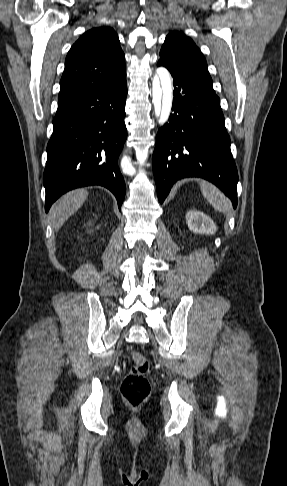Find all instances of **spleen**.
<instances>
[{
  "mask_svg": "<svg viewBox=\"0 0 287 486\" xmlns=\"http://www.w3.org/2000/svg\"><path fill=\"white\" fill-rule=\"evenodd\" d=\"M200 188L205 199L213 206L215 210L228 213L231 208L229 199L213 184L201 180Z\"/></svg>",
  "mask_w": 287,
  "mask_h": 486,
  "instance_id": "1",
  "label": "spleen"
}]
</instances>
